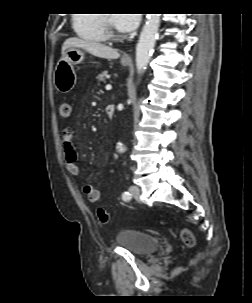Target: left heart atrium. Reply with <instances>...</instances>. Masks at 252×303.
I'll use <instances>...</instances> for the list:
<instances>
[{
	"label": "left heart atrium",
	"instance_id": "obj_1",
	"mask_svg": "<svg viewBox=\"0 0 252 303\" xmlns=\"http://www.w3.org/2000/svg\"><path fill=\"white\" fill-rule=\"evenodd\" d=\"M139 22V14H114L113 16V23L121 32H131L135 30Z\"/></svg>",
	"mask_w": 252,
	"mask_h": 303
}]
</instances>
